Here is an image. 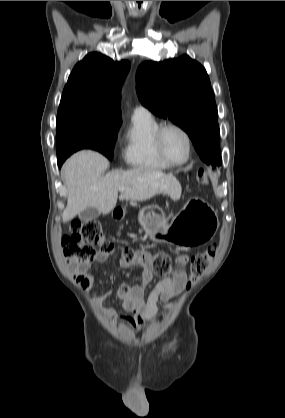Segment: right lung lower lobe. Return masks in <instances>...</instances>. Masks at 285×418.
Segmentation results:
<instances>
[{
	"label": "right lung lower lobe",
	"instance_id": "obj_1",
	"mask_svg": "<svg viewBox=\"0 0 285 418\" xmlns=\"http://www.w3.org/2000/svg\"><path fill=\"white\" fill-rule=\"evenodd\" d=\"M66 159V158H65ZM65 159H58V166L61 167Z\"/></svg>",
	"mask_w": 285,
	"mask_h": 418
}]
</instances>
